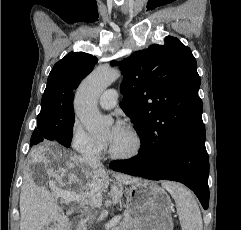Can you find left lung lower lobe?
I'll return each instance as SVG.
<instances>
[{
  "label": "left lung lower lobe",
  "mask_w": 241,
  "mask_h": 230,
  "mask_svg": "<svg viewBox=\"0 0 241 230\" xmlns=\"http://www.w3.org/2000/svg\"><path fill=\"white\" fill-rule=\"evenodd\" d=\"M110 168L150 180H172L185 184L199 198L204 209L209 203V159L205 140L141 143L138 155L112 161Z\"/></svg>",
  "instance_id": "obj_1"
}]
</instances>
